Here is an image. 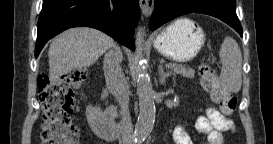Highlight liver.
<instances>
[{
  "label": "liver",
  "instance_id": "1",
  "mask_svg": "<svg viewBox=\"0 0 273 144\" xmlns=\"http://www.w3.org/2000/svg\"><path fill=\"white\" fill-rule=\"evenodd\" d=\"M113 45V39L97 29L77 27L64 31L49 47L50 83L56 85L70 71L94 64Z\"/></svg>",
  "mask_w": 273,
  "mask_h": 144
}]
</instances>
